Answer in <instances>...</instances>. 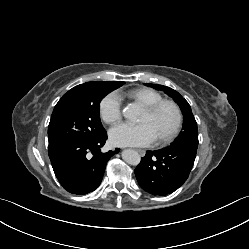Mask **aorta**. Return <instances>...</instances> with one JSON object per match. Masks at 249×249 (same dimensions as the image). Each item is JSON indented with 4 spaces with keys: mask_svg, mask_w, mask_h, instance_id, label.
Wrapping results in <instances>:
<instances>
[{
    "mask_svg": "<svg viewBox=\"0 0 249 249\" xmlns=\"http://www.w3.org/2000/svg\"><path fill=\"white\" fill-rule=\"evenodd\" d=\"M123 116L128 120H134L138 114V108L135 104H128L122 111ZM122 158L125 162L131 165L140 163V155L133 149H126L122 152Z\"/></svg>",
    "mask_w": 249,
    "mask_h": 249,
    "instance_id": "obj_1",
    "label": "aorta"
}]
</instances>
